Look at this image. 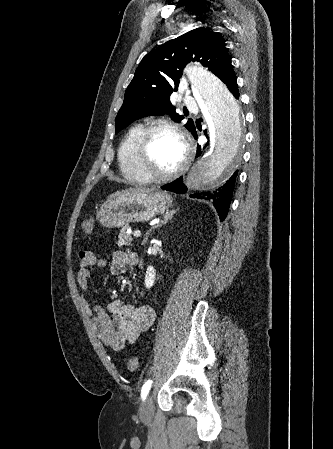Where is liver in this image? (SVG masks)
<instances>
[{"label":"liver","mask_w":333,"mask_h":449,"mask_svg":"<svg viewBox=\"0 0 333 449\" xmlns=\"http://www.w3.org/2000/svg\"><path fill=\"white\" fill-rule=\"evenodd\" d=\"M135 191L145 192V191L142 190V189H138V190H135V189L122 190V191H117V192H115V193L109 195V196H108V199L115 198V197H119V196H121L122 194L127 193V192H135Z\"/></svg>","instance_id":"liver-1"}]
</instances>
